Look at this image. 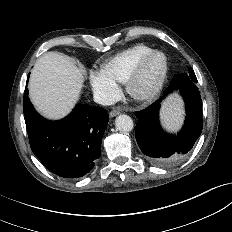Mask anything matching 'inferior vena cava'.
Segmentation results:
<instances>
[{"instance_id":"inferior-vena-cava-1","label":"inferior vena cava","mask_w":232,"mask_h":232,"mask_svg":"<svg viewBox=\"0 0 232 232\" xmlns=\"http://www.w3.org/2000/svg\"><path fill=\"white\" fill-rule=\"evenodd\" d=\"M93 98L96 103L104 106L112 105L114 103V99L111 98L108 94L103 92L94 93Z\"/></svg>"}]
</instances>
